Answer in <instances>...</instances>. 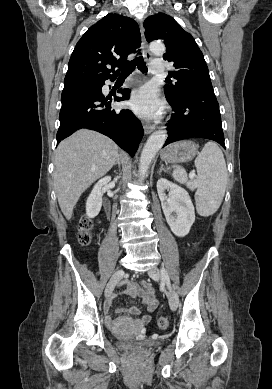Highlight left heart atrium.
<instances>
[{
  "label": "left heart atrium",
  "instance_id": "39dd6f15",
  "mask_svg": "<svg viewBox=\"0 0 272 389\" xmlns=\"http://www.w3.org/2000/svg\"><path fill=\"white\" fill-rule=\"evenodd\" d=\"M129 104L136 113L146 117H154L161 110L157 92L151 86H143L135 90Z\"/></svg>",
  "mask_w": 272,
  "mask_h": 389
}]
</instances>
